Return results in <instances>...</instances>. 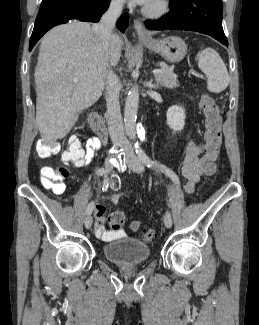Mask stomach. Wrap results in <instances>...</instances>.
<instances>
[{"label":"stomach","mask_w":259,"mask_h":325,"mask_svg":"<svg viewBox=\"0 0 259 325\" xmlns=\"http://www.w3.org/2000/svg\"><path fill=\"white\" fill-rule=\"evenodd\" d=\"M143 43L148 49L158 53L170 63L180 62L187 52L185 41L176 36H169L161 40L143 41Z\"/></svg>","instance_id":"stomach-1"}]
</instances>
